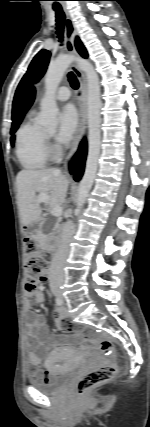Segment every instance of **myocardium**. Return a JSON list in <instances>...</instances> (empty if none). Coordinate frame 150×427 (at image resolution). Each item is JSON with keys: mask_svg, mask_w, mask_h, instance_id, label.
Segmentation results:
<instances>
[{"mask_svg": "<svg viewBox=\"0 0 150 427\" xmlns=\"http://www.w3.org/2000/svg\"><path fill=\"white\" fill-rule=\"evenodd\" d=\"M50 138H51V135H49L48 133H45V139H46V143H47V152H48L49 155H53V154H55V151L49 145Z\"/></svg>", "mask_w": 150, "mask_h": 427, "instance_id": "1", "label": "myocardium"}]
</instances>
